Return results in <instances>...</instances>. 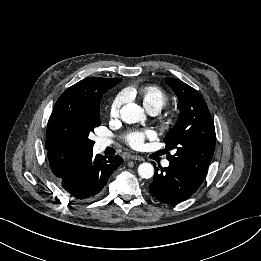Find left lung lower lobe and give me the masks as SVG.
<instances>
[{
    "mask_svg": "<svg viewBox=\"0 0 261 261\" xmlns=\"http://www.w3.org/2000/svg\"><path fill=\"white\" fill-rule=\"evenodd\" d=\"M158 171L156 167L149 192L156 200L166 204L174 205L188 199L201 185L175 165L161 167Z\"/></svg>",
    "mask_w": 261,
    "mask_h": 261,
    "instance_id": "left-lung-lower-lobe-1",
    "label": "left lung lower lobe"
}]
</instances>
